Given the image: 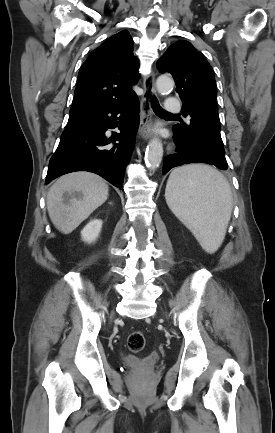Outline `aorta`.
Segmentation results:
<instances>
[{
    "label": "aorta",
    "instance_id": "762f6f07",
    "mask_svg": "<svg viewBox=\"0 0 275 433\" xmlns=\"http://www.w3.org/2000/svg\"><path fill=\"white\" fill-rule=\"evenodd\" d=\"M157 90L160 93L167 92L173 89L174 87V81L169 76H160L158 77L156 81ZM163 157V145L162 142L154 138L152 139L147 147L146 154H145V162L146 165L154 170L157 169L162 161Z\"/></svg>",
    "mask_w": 275,
    "mask_h": 433
}]
</instances>
